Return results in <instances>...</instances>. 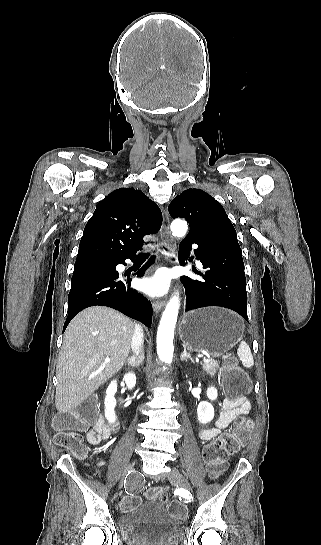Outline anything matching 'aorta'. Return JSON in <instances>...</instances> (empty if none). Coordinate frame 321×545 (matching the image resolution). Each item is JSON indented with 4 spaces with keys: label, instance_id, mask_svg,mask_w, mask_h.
Wrapping results in <instances>:
<instances>
[{
    "label": "aorta",
    "instance_id": "obj_1",
    "mask_svg": "<svg viewBox=\"0 0 321 545\" xmlns=\"http://www.w3.org/2000/svg\"><path fill=\"white\" fill-rule=\"evenodd\" d=\"M171 231L174 236L184 237L187 232V223L182 220H174L171 223ZM180 301L179 296L174 295L162 315L157 331V354L162 362L170 364L173 359V338L177 322Z\"/></svg>",
    "mask_w": 321,
    "mask_h": 545
}]
</instances>
